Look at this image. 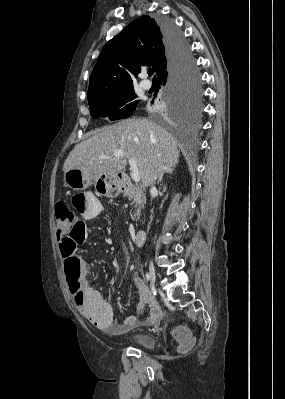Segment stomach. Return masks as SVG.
Segmentation results:
<instances>
[{
  "label": "stomach",
  "instance_id": "obj_1",
  "mask_svg": "<svg viewBox=\"0 0 285 399\" xmlns=\"http://www.w3.org/2000/svg\"><path fill=\"white\" fill-rule=\"evenodd\" d=\"M94 183L95 190L104 196L115 198L121 191L123 182L117 175H100L91 177L80 169H69L64 172V185L76 191H83Z\"/></svg>",
  "mask_w": 285,
  "mask_h": 399
}]
</instances>
